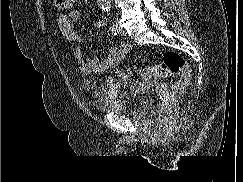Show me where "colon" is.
Wrapping results in <instances>:
<instances>
[{"mask_svg": "<svg viewBox=\"0 0 243 182\" xmlns=\"http://www.w3.org/2000/svg\"><path fill=\"white\" fill-rule=\"evenodd\" d=\"M54 4L59 9L67 10L73 7L74 0H54ZM139 75L144 80L161 79L168 76L179 77L166 91L161 93V111H164L169 103L183 92L191 78L185 60L175 51L165 52L161 63L141 68Z\"/></svg>", "mask_w": 243, "mask_h": 182, "instance_id": "1", "label": "colon"}]
</instances>
